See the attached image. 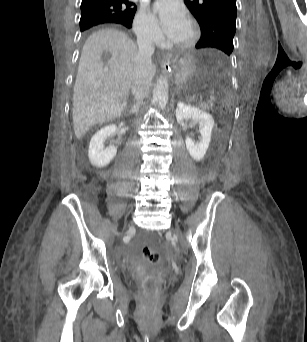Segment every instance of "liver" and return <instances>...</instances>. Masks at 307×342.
<instances>
[{"label":"liver","instance_id":"6515ba94","mask_svg":"<svg viewBox=\"0 0 307 342\" xmlns=\"http://www.w3.org/2000/svg\"><path fill=\"white\" fill-rule=\"evenodd\" d=\"M137 54L136 44L119 30H99L86 40L73 94L78 140L95 124L109 122L125 110ZM152 70L156 72L155 64Z\"/></svg>","mask_w":307,"mask_h":342}]
</instances>
